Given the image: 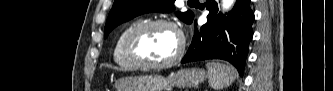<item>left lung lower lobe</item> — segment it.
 Returning a JSON list of instances; mask_svg holds the SVG:
<instances>
[{
    "label": "left lung lower lobe",
    "mask_w": 333,
    "mask_h": 91,
    "mask_svg": "<svg viewBox=\"0 0 333 91\" xmlns=\"http://www.w3.org/2000/svg\"><path fill=\"white\" fill-rule=\"evenodd\" d=\"M208 22L195 30L192 43L181 63L223 59L233 64L242 76L248 45L253 37L254 13L250 0H238L227 16L218 13L215 0L206 3ZM196 26V22H195Z\"/></svg>",
    "instance_id": "0a47b994"
}]
</instances>
